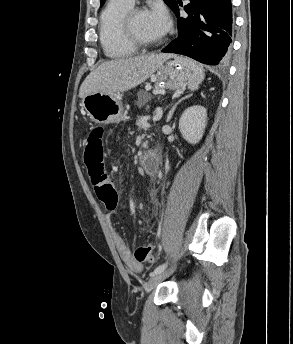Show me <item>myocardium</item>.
<instances>
[{"label": "myocardium", "instance_id": "f54148a6", "mask_svg": "<svg viewBox=\"0 0 293 344\" xmlns=\"http://www.w3.org/2000/svg\"><path fill=\"white\" fill-rule=\"evenodd\" d=\"M145 12V10L141 7L132 6L122 17L121 20V32L123 37L133 46L140 49H147L151 47L158 46L162 44L163 40L160 39L158 41H146L138 37L132 28V21L134 17L139 14Z\"/></svg>", "mask_w": 293, "mask_h": 344}]
</instances>
